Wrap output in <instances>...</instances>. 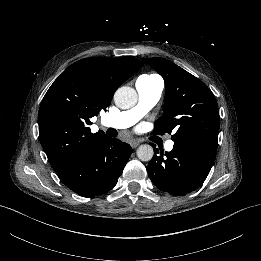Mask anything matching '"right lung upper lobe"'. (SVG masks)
Returning a JSON list of instances; mask_svg holds the SVG:
<instances>
[{"instance_id":"1","label":"right lung upper lobe","mask_w":261,"mask_h":261,"mask_svg":"<svg viewBox=\"0 0 261 261\" xmlns=\"http://www.w3.org/2000/svg\"><path fill=\"white\" fill-rule=\"evenodd\" d=\"M143 64L136 58H86L51 85L38 114L39 139L58 173L91 151L105 134L91 133L90 118L110 105L116 89Z\"/></svg>"}]
</instances>
